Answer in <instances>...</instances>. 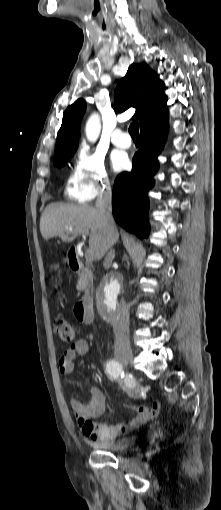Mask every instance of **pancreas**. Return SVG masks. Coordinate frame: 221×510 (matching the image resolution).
I'll list each match as a JSON object with an SVG mask.
<instances>
[{
  "instance_id": "cf45deb5",
  "label": "pancreas",
  "mask_w": 221,
  "mask_h": 510,
  "mask_svg": "<svg viewBox=\"0 0 221 510\" xmlns=\"http://www.w3.org/2000/svg\"><path fill=\"white\" fill-rule=\"evenodd\" d=\"M86 286H87L86 278L83 275H80L79 279H78V286H77L78 290H83V289H85Z\"/></svg>"
}]
</instances>
